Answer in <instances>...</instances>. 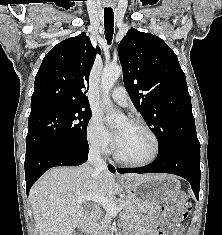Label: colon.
Masks as SVG:
<instances>
[{
  "mask_svg": "<svg viewBox=\"0 0 222 235\" xmlns=\"http://www.w3.org/2000/svg\"><path fill=\"white\" fill-rule=\"evenodd\" d=\"M190 210L189 202L185 195L178 194L174 196L170 201L165 203L163 207V215L165 217V229L161 233L163 235H177L179 227L175 224V220L183 219L187 216ZM73 235H81L80 233H74Z\"/></svg>",
  "mask_w": 222,
  "mask_h": 235,
  "instance_id": "obj_1",
  "label": "colon"
}]
</instances>
